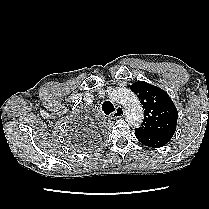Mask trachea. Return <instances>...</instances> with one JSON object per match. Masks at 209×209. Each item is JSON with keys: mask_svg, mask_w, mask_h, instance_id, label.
<instances>
[{"mask_svg": "<svg viewBox=\"0 0 209 209\" xmlns=\"http://www.w3.org/2000/svg\"><path fill=\"white\" fill-rule=\"evenodd\" d=\"M102 111L105 114L109 115L115 111L114 105L110 101H105L102 104Z\"/></svg>", "mask_w": 209, "mask_h": 209, "instance_id": "1", "label": "trachea"}]
</instances>
